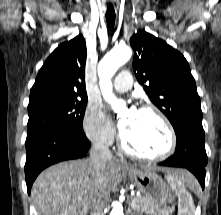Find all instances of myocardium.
<instances>
[{"mask_svg": "<svg viewBox=\"0 0 221 215\" xmlns=\"http://www.w3.org/2000/svg\"><path fill=\"white\" fill-rule=\"evenodd\" d=\"M138 111L151 112L159 118V120L162 122V124L166 130L167 136H168L167 148L164 152H162L158 155L150 156V155L139 154V153H136L128 148V146L126 145V143L124 141L123 135L121 133L120 134V147H121V149L128 156L135 158V159L143 160V161L159 162V161H163V160L167 159L168 157H170L174 153V151L176 149V144H177L176 133H175L172 123L170 122L168 117L165 115V113L154 105H143L139 108Z\"/></svg>", "mask_w": 221, "mask_h": 215, "instance_id": "obj_1", "label": "myocardium"}]
</instances>
